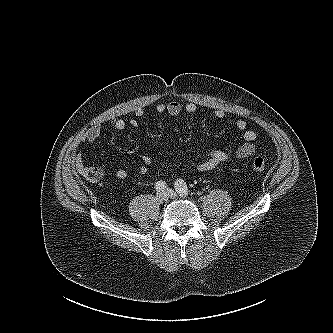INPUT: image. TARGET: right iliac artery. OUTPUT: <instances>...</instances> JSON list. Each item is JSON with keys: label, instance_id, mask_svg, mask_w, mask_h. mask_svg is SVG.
I'll list each match as a JSON object with an SVG mask.
<instances>
[{"label": "right iliac artery", "instance_id": "82829eb1", "mask_svg": "<svg viewBox=\"0 0 333 333\" xmlns=\"http://www.w3.org/2000/svg\"><path fill=\"white\" fill-rule=\"evenodd\" d=\"M167 187L166 183L164 181H158L155 184V188L157 191L164 190Z\"/></svg>", "mask_w": 333, "mask_h": 333}]
</instances>
